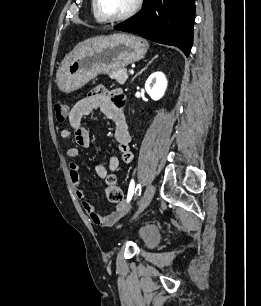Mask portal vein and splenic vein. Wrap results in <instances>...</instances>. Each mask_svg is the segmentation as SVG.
Here are the masks:
<instances>
[{
	"mask_svg": "<svg viewBox=\"0 0 261 306\" xmlns=\"http://www.w3.org/2000/svg\"><path fill=\"white\" fill-rule=\"evenodd\" d=\"M129 73H130L131 75H133V74H134V71H133V70H131Z\"/></svg>",
	"mask_w": 261,
	"mask_h": 306,
	"instance_id": "1",
	"label": "portal vein and splenic vein"
}]
</instances>
